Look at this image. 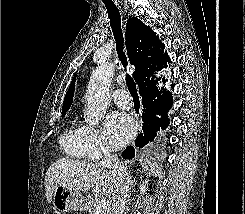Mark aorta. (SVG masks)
Masks as SVG:
<instances>
[{"mask_svg": "<svg viewBox=\"0 0 245 214\" xmlns=\"http://www.w3.org/2000/svg\"><path fill=\"white\" fill-rule=\"evenodd\" d=\"M115 67L113 63H101L92 72L87 87V107L84 120L91 126L97 125L105 116L109 106V88Z\"/></svg>", "mask_w": 245, "mask_h": 214, "instance_id": "aorta-1", "label": "aorta"}]
</instances>
